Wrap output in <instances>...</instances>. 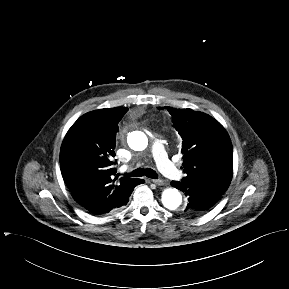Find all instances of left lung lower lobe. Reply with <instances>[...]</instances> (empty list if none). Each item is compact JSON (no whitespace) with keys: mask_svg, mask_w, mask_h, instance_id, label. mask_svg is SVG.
Wrapping results in <instances>:
<instances>
[{"mask_svg":"<svg viewBox=\"0 0 289 289\" xmlns=\"http://www.w3.org/2000/svg\"><path fill=\"white\" fill-rule=\"evenodd\" d=\"M171 184L184 192L188 197V204L181 211V213L186 216H195L204 213L216 204L221 197V195H218L215 192L200 188L187 187L180 182L172 181Z\"/></svg>","mask_w":289,"mask_h":289,"instance_id":"0a47b994","label":"left lung lower lobe"}]
</instances>
